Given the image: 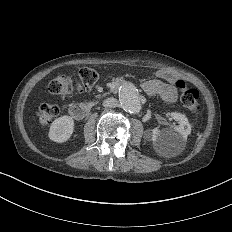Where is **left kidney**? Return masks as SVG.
<instances>
[{
  "label": "left kidney",
  "mask_w": 232,
  "mask_h": 232,
  "mask_svg": "<svg viewBox=\"0 0 232 232\" xmlns=\"http://www.w3.org/2000/svg\"><path fill=\"white\" fill-rule=\"evenodd\" d=\"M170 116L178 122L173 129L152 130V141L157 152L161 150L172 152L181 151L185 147L187 137L191 133V125L187 117L181 113L172 112Z\"/></svg>",
  "instance_id": "left-kidney-1"
}]
</instances>
